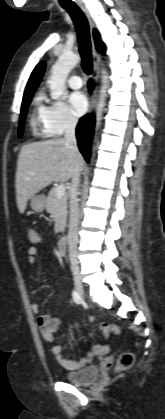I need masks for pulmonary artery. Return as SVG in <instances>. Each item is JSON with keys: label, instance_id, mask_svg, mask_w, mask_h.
<instances>
[{"label": "pulmonary artery", "instance_id": "e3ab8cb5", "mask_svg": "<svg viewBox=\"0 0 165 419\" xmlns=\"http://www.w3.org/2000/svg\"><path fill=\"white\" fill-rule=\"evenodd\" d=\"M68 85L73 88V89H79L82 87L83 82L80 76L78 75H72L69 79H68Z\"/></svg>", "mask_w": 165, "mask_h": 419}]
</instances>
